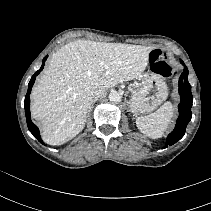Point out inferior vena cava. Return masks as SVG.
<instances>
[{
  "label": "inferior vena cava",
  "mask_w": 211,
  "mask_h": 211,
  "mask_svg": "<svg viewBox=\"0 0 211 211\" xmlns=\"http://www.w3.org/2000/svg\"><path fill=\"white\" fill-rule=\"evenodd\" d=\"M104 93H105V90H103V89H97V90L94 91L93 97H94V99H98L99 97H101L102 95H104Z\"/></svg>",
  "instance_id": "inferior-vena-cava-1"
}]
</instances>
